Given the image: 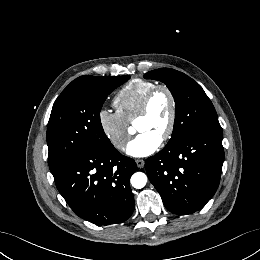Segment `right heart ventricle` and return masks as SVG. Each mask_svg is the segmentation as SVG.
<instances>
[{"label":"right heart ventricle","instance_id":"e07e8e85","mask_svg":"<svg viewBox=\"0 0 260 260\" xmlns=\"http://www.w3.org/2000/svg\"><path fill=\"white\" fill-rule=\"evenodd\" d=\"M154 86L156 83L150 80L138 78L130 81L114 97L116 111L128 123L133 122L144 96Z\"/></svg>","mask_w":260,"mask_h":260}]
</instances>
